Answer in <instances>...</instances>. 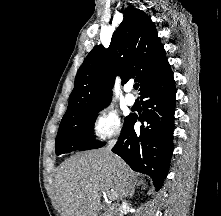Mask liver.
Masks as SVG:
<instances>
[{"label": "liver", "instance_id": "obj_1", "mask_svg": "<svg viewBox=\"0 0 221 216\" xmlns=\"http://www.w3.org/2000/svg\"><path fill=\"white\" fill-rule=\"evenodd\" d=\"M135 181V173L107 149L74 155L57 169L61 216H98L102 192L112 193V200L122 199Z\"/></svg>", "mask_w": 221, "mask_h": 216}]
</instances>
